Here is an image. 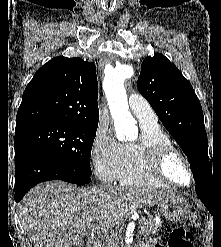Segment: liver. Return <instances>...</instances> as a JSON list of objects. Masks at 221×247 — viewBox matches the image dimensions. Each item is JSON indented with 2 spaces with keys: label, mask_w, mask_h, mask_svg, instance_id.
Returning <instances> with one entry per match:
<instances>
[{
  "label": "liver",
  "mask_w": 221,
  "mask_h": 247,
  "mask_svg": "<svg viewBox=\"0 0 221 247\" xmlns=\"http://www.w3.org/2000/svg\"><path fill=\"white\" fill-rule=\"evenodd\" d=\"M172 196L135 187L81 189L56 180L33 187L19 206V217L34 247H74L89 230L108 232L129 212Z\"/></svg>",
  "instance_id": "1"
}]
</instances>
